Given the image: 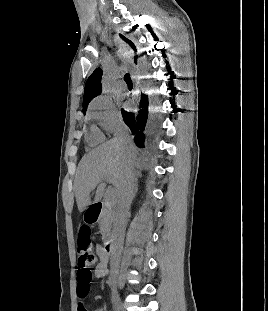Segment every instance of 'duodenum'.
Returning <instances> with one entry per match:
<instances>
[{
	"instance_id": "1",
	"label": "duodenum",
	"mask_w": 268,
	"mask_h": 311,
	"mask_svg": "<svg viewBox=\"0 0 268 311\" xmlns=\"http://www.w3.org/2000/svg\"><path fill=\"white\" fill-rule=\"evenodd\" d=\"M103 208L102 202L94 203L89 209H88V216L92 221H96L99 217V214ZM104 249L108 255L112 254L115 249V240L113 238L107 239L104 245Z\"/></svg>"
}]
</instances>
